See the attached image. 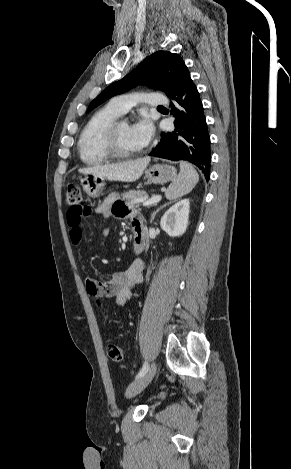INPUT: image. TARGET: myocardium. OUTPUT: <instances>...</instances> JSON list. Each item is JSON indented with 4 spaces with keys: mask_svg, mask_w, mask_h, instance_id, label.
I'll return each instance as SVG.
<instances>
[{
    "mask_svg": "<svg viewBox=\"0 0 291 469\" xmlns=\"http://www.w3.org/2000/svg\"><path fill=\"white\" fill-rule=\"evenodd\" d=\"M123 122H125L123 119L117 118L108 125L104 133V145L108 154L112 158H130L140 154L143 151L142 149L126 151L120 147L118 142V128Z\"/></svg>",
    "mask_w": 291,
    "mask_h": 469,
    "instance_id": "1",
    "label": "myocardium"
}]
</instances>
